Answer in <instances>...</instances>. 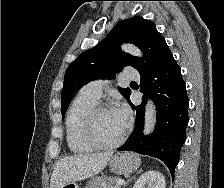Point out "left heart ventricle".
Listing matches in <instances>:
<instances>
[{
    "label": "left heart ventricle",
    "mask_w": 224,
    "mask_h": 188,
    "mask_svg": "<svg viewBox=\"0 0 224 188\" xmlns=\"http://www.w3.org/2000/svg\"><path fill=\"white\" fill-rule=\"evenodd\" d=\"M126 125L121 121L113 109L101 112L96 121V133L105 142H112L119 138Z\"/></svg>",
    "instance_id": "left-heart-ventricle-1"
}]
</instances>
